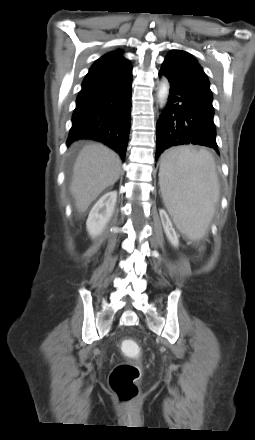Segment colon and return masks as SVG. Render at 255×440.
Masks as SVG:
<instances>
[{
	"label": "colon",
	"mask_w": 255,
	"mask_h": 440,
	"mask_svg": "<svg viewBox=\"0 0 255 440\" xmlns=\"http://www.w3.org/2000/svg\"><path fill=\"white\" fill-rule=\"evenodd\" d=\"M120 348L130 357H136L140 352L139 345L131 339L122 340ZM140 376L141 369L136 363L118 364L112 369L109 377L110 387L121 402L131 401L138 395Z\"/></svg>",
	"instance_id": "obj_1"
}]
</instances>
